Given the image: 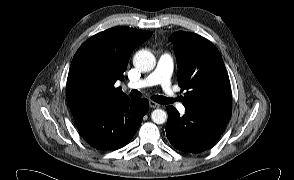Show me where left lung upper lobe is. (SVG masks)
<instances>
[{"mask_svg":"<svg viewBox=\"0 0 294 180\" xmlns=\"http://www.w3.org/2000/svg\"><path fill=\"white\" fill-rule=\"evenodd\" d=\"M178 61V85L186 89L185 108L231 112L229 77L213 43L195 33L178 31L169 39Z\"/></svg>","mask_w":294,"mask_h":180,"instance_id":"1","label":"left lung upper lobe"}]
</instances>
